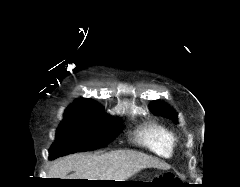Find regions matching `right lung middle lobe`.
<instances>
[{
    "label": "right lung middle lobe",
    "instance_id": "right-lung-middle-lobe-1",
    "mask_svg": "<svg viewBox=\"0 0 240 187\" xmlns=\"http://www.w3.org/2000/svg\"><path fill=\"white\" fill-rule=\"evenodd\" d=\"M122 129L119 121L102 113L66 111L49 150V159L103 147Z\"/></svg>",
    "mask_w": 240,
    "mask_h": 187
}]
</instances>
